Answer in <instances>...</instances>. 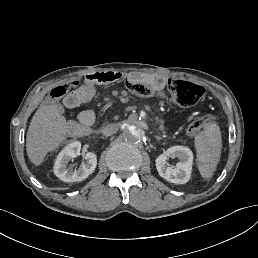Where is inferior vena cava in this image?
Returning a JSON list of instances; mask_svg holds the SVG:
<instances>
[{
	"label": "inferior vena cava",
	"instance_id": "1",
	"mask_svg": "<svg viewBox=\"0 0 258 258\" xmlns=\"http://www.w3.org/2000/svg\"><path fill=\"white\" fill-rule=\"evenodd\" d=\"M117 130L114 128L113 125H106L105 127L102 128L101 133L104 136H111L114 134Z\"/></svg>",
	"mask_w": 258,
	"mask_h": 258
}]
</instances>
